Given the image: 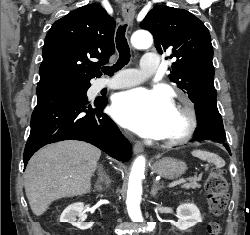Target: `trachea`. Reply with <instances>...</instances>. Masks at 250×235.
Wrapping results in <instances>:
<instances>
[{"label": "trachea", "instance_id": "trachea-1", "mask_svg": "<svg viewBox=\"0 0 250 235\" xmlns=\"http://www.w3.org/2000/svg\"><path fill=\"white\" fill-rule=\"evenodd\" d=\"M126 24L121 25L116 33V48L119 52V59L113 66L102 67L101 70L108 76H112L114 72H117L122 67L128 64L130 60V48L125 37Z\"/></svg>", "mask_w": 250, "mask_h": 235}]
</instances>
